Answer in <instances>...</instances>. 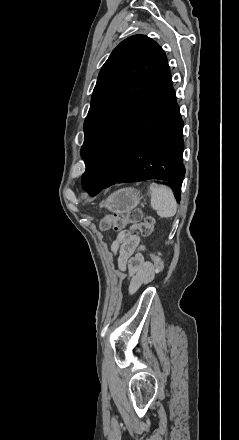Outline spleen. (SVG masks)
I'll return each mask as SVG.
<instances>
[{"label": "spleen", "instance_id": "obj_1", "mask_svg": "<svg viewBox=\"0 0 239 440\" xmlns=\"http://www.w3.org/2000/svg\"><path fill=\"white\" fill-rule=\"evenodd\" d=\"M151 206L157 210L161 218H172L177 212V202L171 188L160 186V184H151Z\"/></svg>", "mask_w": 239, "mask_h": 440}]
</instances>
